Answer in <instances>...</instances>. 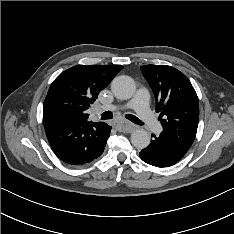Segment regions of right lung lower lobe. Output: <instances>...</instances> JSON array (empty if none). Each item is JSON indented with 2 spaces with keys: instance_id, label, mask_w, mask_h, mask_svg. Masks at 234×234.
I'll list each match as a JSON object with an SVG mask.
<instances>
[{
  "instance_id": "obj_1",
  "label": "right lung lower lobe",
  "mask_w": 234,
  "mask_h": 234,
  "mask_svg": "<svg viewBox=\"0 0 234 234\" xmlns=\"http://www.w3.org/2000/svg\"><path fill=\"white\" fill-rule=\"evenodd\" d=\"M54 153L65 163L82 165L104 151L111 126L103 122H71L45 129Z\"/></svg>"
}]
</instances>
